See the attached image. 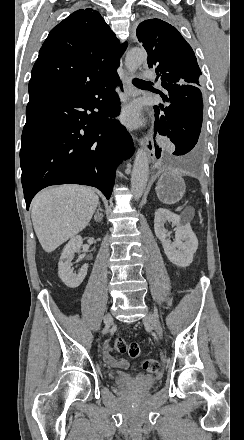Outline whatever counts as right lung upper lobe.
Returning <instances> with one entry per match:
<instances>
[{
    "mask_svg": "<svg viewBox=\"0 0 244 440\" xmlns=\"http://www.w3.org/2000/svg\"><path fill=\"white\" fill-rule=\"evenodd\" d=\"M126 43L119 44L98 11L80 9L55 26L32 69L29 95L74 90L116 72Z\"/></svg>",
    "mask_w": 244,
    "mask_h": 440,
    "instance_id": "obj_1",
    "label": "right lung upper lobe"
}]
</instances>
